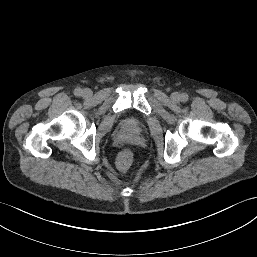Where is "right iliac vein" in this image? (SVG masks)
<instances>
[{
	"label": "right iliac vein",
	"mask_w": 257,
	"mask_h": 257,
	"mask_svg": "<svg viewBox=\"0 0 257 257\" xmlns=\"http://www.w3.org/2000/svg\"><path fill=\"white\" fill-rule=\"evenodd\" d=\"M82 94L84 97H90L92 95V92L90 89H84Z\"/></svg>",
	"instance_id": "1"
}]
</instances>
